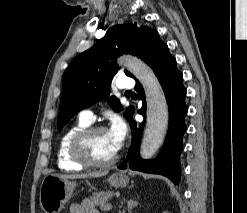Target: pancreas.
<instances>
[{
	"label": "pancreas",
	"mask_w": 247,
	"mask_h": 213,
	"mask_svg": "<svg viewBox=\"0 0 247 213\" xmlns=\"http://www.w3.org/2000/svg\"><path fill=\"white\" fill-rule=\"evenodd\" d=\"M113 195V192H98V193H94L92 194V196L90 197V200L94 203L95 206L100 207L101 209H104L108 199Z\"/></svg>",
	"instance_id": "pancreas-1"
}]
</instances>
